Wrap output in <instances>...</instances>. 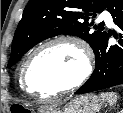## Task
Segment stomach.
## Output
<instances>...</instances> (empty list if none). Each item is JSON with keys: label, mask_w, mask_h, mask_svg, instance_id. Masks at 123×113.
Returning <instances> with one entry per match:
<instances>
[{"label": "stomach", "mask_w": 123, "mask_h": 113, "mask_svg": "<svg viewBox=\"0 0 123 113\" xmlns=\"http://www.w3.org/2000/svg\"><path fill=\"white\" fill-rule=\"evenodd\" d=\"M104 104L100 96L88 94L75 97L64 106H52L42 109L40 113H98ZM23 109H26L23 107Z\"/></svg>", "instance_id": "obj_1"}]
</instances>
